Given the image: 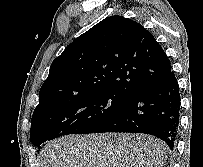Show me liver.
<instances>
[{"label":"liver","mask_w":203,"mask_h":167,"mask_svg":"<svg viewBox=\"0 0 203 167\" xmlns=\"http://www.w3.org/2000/svg\"><path fill=\"white\" fill-rule=\"evenodd\" d=\"M166 146L143 134L68 135L47 143L38 167H162Z\"/></svg>","instance_id":"liver-1"}]
</instances>
